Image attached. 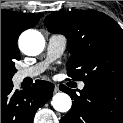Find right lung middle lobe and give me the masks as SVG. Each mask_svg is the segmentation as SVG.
<instances>
[{
	"label": "right lung middle lobe",
	"mask_w": 123,
	"mask_h": 123,
	"mask_svg": "<svg viewBox=\"0 0 123 123\" xmlns=\"http://www.w3.org/2000/svg\"><path fill=\"white\" fill-rule=\"evenodd\" d=\"M20 60L17 41L9 32L1 29V83L12 81V76L17 71L15 62Z\"/></svg>",
	"instance_id": "obj_1"
}]
</instances>
